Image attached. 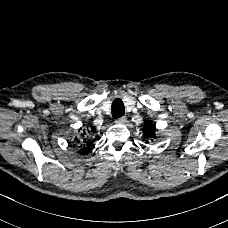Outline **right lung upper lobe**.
<instances>
[{
	"label": "right lung upper lobe",
	"instance_id": "obj_1",
	"mask_svg": "<svg viewBox=\"0 0 228 228\" xmlns=\"http://www.w3.org/2000/svg\"><path fill=\"white\" fill-rule=\"evenodd\" d=\"M95 132L96 129L94 126H90V128L87 130L88 134H93ZM75 140L78 143L77 148H80V152L83 154H87L93 146V142L89 139L85 131L80 134V138H75Z\"/></svg>",
	"mask_w": 228,
	"mask_h": 228
}]
</instances>
